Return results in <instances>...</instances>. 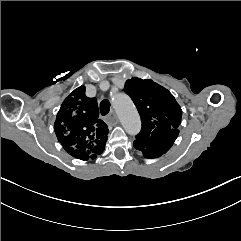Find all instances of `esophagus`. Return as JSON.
<instances>
[{"mask_svg":"<svg viewBox=\"0 0 241 241\" xmlns=\"http://www.w3.org/2000/svg\"><path fill=\"white\" fill-rule=\"evenodd\" d=\"M109 117H110V120L113 122L112 124H115L118 122V117L113 110L110 112Z\"/></svg>","mask_w":241,"mask_h":241,"instance_id":"esophagus-1","label":"esophagus"}]
</instances>
